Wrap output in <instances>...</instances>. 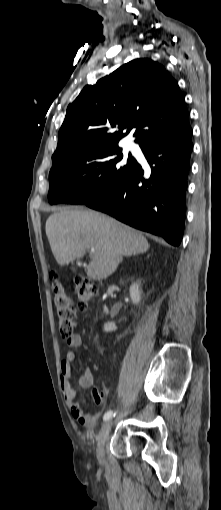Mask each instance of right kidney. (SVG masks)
<instances>
[{
  "mask_svg": "<svg viewBox=\"0 0 221 510\" xmlns=\"http://www.w3.org/2000/svg\"><path fill=\"white\" fill-rule=\"evenodd\" d=\"M130 298H131V301L133 304H138L140 302L141 291H140L138 283H133L130 286ZM116 329H117V327L115 326L114 323H107L104 325L105 332L115 331Z\"/></svg>",
  "mask_w": 221,
  "mask_h": 510,
  "instance_id": "ca27d5eb",
  "label": "right kidney"
}]
</instances>
